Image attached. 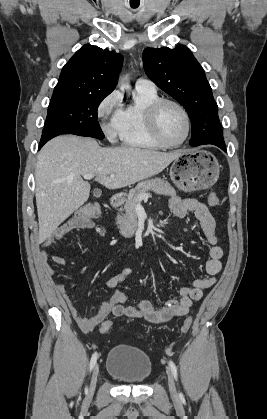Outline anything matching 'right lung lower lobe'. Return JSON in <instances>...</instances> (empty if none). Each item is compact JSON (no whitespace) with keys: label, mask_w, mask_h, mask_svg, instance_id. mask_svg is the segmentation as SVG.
Wrapping results in <instances>:
<instances>
[{"label":"right lung lower lobe","mask_w":267,"mask_h":419,"mask_svg":"<svg viewBox=\"0 0 267 419\" xmlns=\"http://www.w3.org/2000/svg\"><path fill=\"white\" fill-rule=\"evenodd\" d=\"M58 133H54L52 131H47L42 133V137H41V141H40V145H39V149L50 139H52L53 137L57 136Z\"/></svg>","instance_id":"right-lung-lower-lobe-1"}]
</instances>
